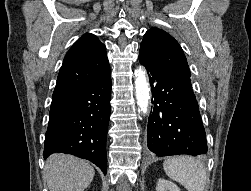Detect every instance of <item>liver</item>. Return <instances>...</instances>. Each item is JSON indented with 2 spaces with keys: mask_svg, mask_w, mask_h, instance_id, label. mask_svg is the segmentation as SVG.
Masks as SVG:
<instances>
[{
  "mask_svg": "<svg viewBox=\"0 0 251 191\" xmlns=\"http://www.w3.org/2000/svg\"><path fill=\"white\" fill-rule=\"evenodd\" d=\"M95 169L85 159L65 153H53L47 159L45 175L50 191H84Z\"/></svg>",
  "mask_w": 251,
  "mask_h": 191,
  "instance_id": "1",
  "label": "liver"
}]
</instances>
